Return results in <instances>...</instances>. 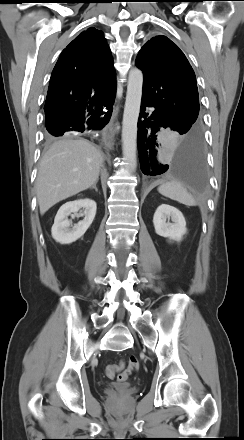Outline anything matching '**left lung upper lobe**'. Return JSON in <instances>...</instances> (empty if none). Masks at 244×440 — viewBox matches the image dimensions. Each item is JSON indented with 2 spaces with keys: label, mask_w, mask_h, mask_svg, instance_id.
<instances>
[{
  "label": "left lung upper lobe",
  "mask_w": 244,
  "mask_h": 440,
  "mask_svg": "<svg viewBox=\"0 0 244 440\" xmlns=\"http://www.w3.org/2000/svg\"><path fill=\"white\" fill-rule=\"evenodd\" d=\"M135 64L143 72L142 99L186 135L201 133L195 73L178 46L166 36L153 37L141 48Z\"/></svg>",
  "instance_id": "5c2ea615"
}]
</instances>
